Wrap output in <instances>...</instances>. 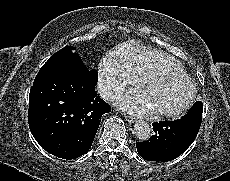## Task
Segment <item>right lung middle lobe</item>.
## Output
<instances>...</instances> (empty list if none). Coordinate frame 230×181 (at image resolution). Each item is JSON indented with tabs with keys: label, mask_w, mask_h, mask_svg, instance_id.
I'll return each instance as SVG.
<instances>
[{
	"label": "right lung middle lobe",
	"mask_w": 230,
	"mask_h": 181,
	"mask_svg": "<svg viewBox=\"0 0 230 181\" xmlns=\"http://www.w3.org/2000/svg\"><path fill=\"white\" fill-rule=\"evenodd\" d=\"M74 47L66 46L53 54L41 67L38 74L62 71L70 68L84 67L81 58L73 51ZM85 68V67H84ZM92 72H96L92 70Z\"/></svg>",
	"instance_id": "obj_1"
}]
</instances>
